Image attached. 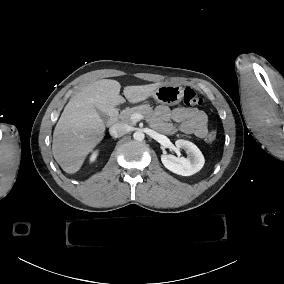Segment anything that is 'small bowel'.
Segmentation results:
<instances>
[{
    "instance_id": "obj_1",
    "label": "small bowel",
    "mask_w": 284,
    "mask_h": 284,
    "mask_svg": "<svg viewBox=\"0 0 284 284\" xmlns=\"http://www.w3.org/2000/svg\"><path fill=\"white\" fill-rule=\"evenodd\" d=\"M154 124L169 135L183 133L205 138L208 133V118L204 111L195 108L170 109L159 105L155 109Z\"/></svg>"
}]
</instances>
